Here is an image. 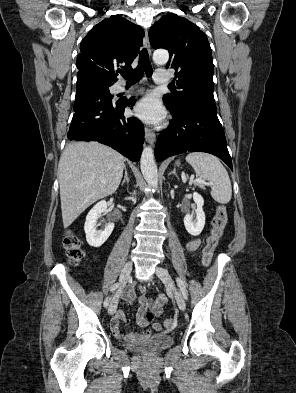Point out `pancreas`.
I'll return each instance as SVG.
<instances>
[{
	"label": "pancreas",
	"instance_id": "1",
	"mask_svg": "<svg viewBox=\"0 0 296 393\" xmlns=\"http://www.w3.org/2000/svg\"><path fill=\"white\" fill-rule=\"evenodd\" d=\"M193 184H194L195 186H198V187H200V188H204V185H203V184H201V183H198V182H193Z\"/></svg>",
	"mask_w": 296,
	"mask_h": 393
}]
</instances>
